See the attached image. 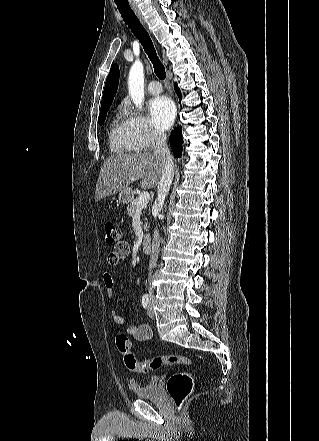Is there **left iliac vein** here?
Instances as JSON below:
<instances>
[{"mask_svg": "<svg viewBox=\"0 0 319 441\" xmlns=\"http://www.w3.org/2000/svg\"><path fill=\"white\" fill-rule=\"evenodd\" d=\"M153 305H154V300L150 299L149 306H148V309H147V314L151 318L154 317Z\"/></svg>", "mask_w": 319, "mask_h": 441, "instance_id": "4c4485c4", "label": "left iliac vein"}]
</instances>
